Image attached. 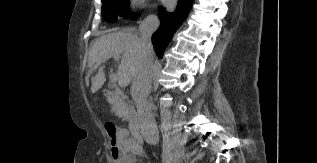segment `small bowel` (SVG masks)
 I'll return each instance as SVG.
<instances>
[{
    "label": "small bowel",
    "mask_w": 317,
    "mask_h": 163,
    "mask_svg": "<svg viewBox=\"0 0 317 163\" xmlns=\"http://www.w3.org/2000/svg\"><path fill=\"white\" fill-rule=\"evenodd\" d=\"M118 139L120 142L121 156L119 163H136L137 158L143 156V150L134 140L130 139L127 132L123 129L119 130ZM150 163V162H146Z\"/></svg>",
    "instance_id": "small-bowel-1"
}]
</instances>
